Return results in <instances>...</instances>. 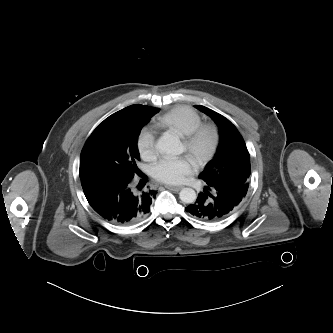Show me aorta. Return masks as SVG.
Here are the masks:
<instances>
[{
	"label": "aorta",
	"mask_w": 333,
	"mask_h": 333,
	"mask_svg": "<svg viewBox=\"0 0 333 333\" xmlns=\"http://www.w3.org/2000/svg\"><path fill=\"white\" fill-rule=\"evenodd\" d=\"M156 148L161 153L172 155H180L184 151L181 141L175 136H162L157 141ZM179 198L186 204H192L196 200V192L192 188H183Z\"/></svg>",
	"instance_id": "aorta-1"
}]
</instances>
